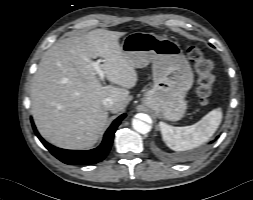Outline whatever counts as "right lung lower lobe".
<instances>
[{
    "mask_svg": "<svg viewBox=\"0 0 253 200\" xmlns=\"http://www.w3.org/2000/svg\"><path fill=\"white\" fill-rule=\"evenodd\" d=\"M125 114L119 116L108 128L106 131L103 141L97 148L92 150H65L60 149L57 147L52 146L51 144L47 143L37 132L35 125H33V129L43 143V145L60 161L66 164H95L102 161L110 151L114 133L119 126L120 122L125 118Z\"/></svg>",
    "mask_w": 253,
    "mask_h": 200,
    "instance_id": "right-lung-lower-lobe-1",
    "label": "right lung lower lobe"
}]
</instances>
